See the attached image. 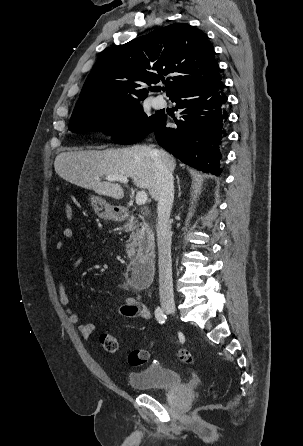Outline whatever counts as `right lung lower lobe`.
I'll use <instances>...</instances> for the list:
<instances>
[{
	"mask_svg": "<svg viewBox=\"0 0 303 446\" xmlns=\"http://www.w3.org/2000/svg\"><path fill=\"white\" fill-rule=\"evenodd\" d=\"M170 100L182 109L181 117L175 119L177 127L167 128V116L162 115L152 131L159 145L185 164L220 175L219 145L228 118L222 78L193 86Z\"/></svg>",
	"mask_w": 303,
	"mask_h": 446,
	"instance_id": "1",
	"label": "right lung lower lobe"
}]
</instances>
